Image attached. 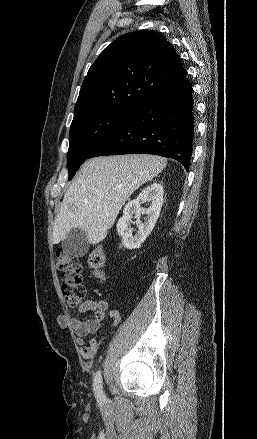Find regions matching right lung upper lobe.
<instances>
[{"label":"right lung upper lobe","instance_id":"1","mask_svg":"<svg viewBox=\"0 0 257 439\" xmlns=\"http://www.w3.org/2000/svg\"><path fill=\"white\" fill-rule=\"evenodd\" d=\"M186 77L180 57L154 30L127 33L99 55L85 77L74 117L92 111L133 113Z\"/></svg>","mask_w":257,"mask_h":439}]
</instances>
